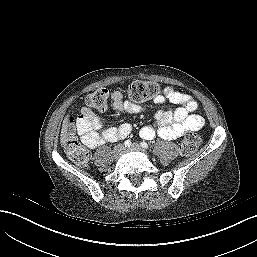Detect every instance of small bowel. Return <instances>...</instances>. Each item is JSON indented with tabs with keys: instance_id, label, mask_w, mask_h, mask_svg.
Instances as JSON below:
<instances>
[{
	"instance_id": "1",
	"label": "small bowel",
	"mask_w": 257,
	"mask_h": 257,
	"mask_svg": "<svg viewBox=\"0 0 257 257\" xmlns=\"http://www.w3.org/2000/svg\"><path fill=\"white\" fill-rule=\"evenodd\" d=\"M113 108L119 113L136 114L145 112V108L131 101H123L122 94L114 91L111 94ZM166 100L178 105L175 110H158L154 114L155 125H147L140 131V136L151 140L156 135L171 140L180 138L186 133L200 130L203 118L196 114L197 103L189 95L166 87L162 95L155 98L156 104ZM132 127L129 123H122L116 127H106L103 119L94 115L89 109L83 108L77 121V131L82 142L89 148H96L107 142H115L127 137Z\"/></svg>"
}]
</instances>
